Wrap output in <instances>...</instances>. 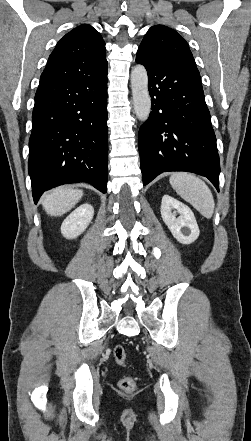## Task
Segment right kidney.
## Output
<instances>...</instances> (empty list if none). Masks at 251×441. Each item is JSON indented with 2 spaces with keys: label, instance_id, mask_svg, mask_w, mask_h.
I'll list each match as a JSON object with an SVG mask.
<instances>
[{
  "label": "right kidney",
  "instance_id": "1",
  "mask_svg": "<svg viewBox=\"0 0 251 441\" xmlns=\"http://www.w3.org/2000/svg\"><path fill=\"white\" fill-rule=\"evenodd\" d=\"M94 208L86 203L75 209L62 223L61 233L67 239L82 234L93 219Z\"/></svg>",
  "mask_w": 251,
  "mask_h": 441
}]
</instances>
